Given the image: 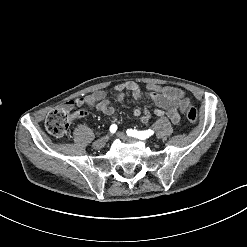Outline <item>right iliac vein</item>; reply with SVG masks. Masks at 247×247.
<instances>
[{"mask_svg": "<svg viewBox=\"0 0 247 247\" xmlns=\"http://www.w3.org/2000/svg\"><path fill=\"white\" fill-rule=\"evenodd\" d=\"M108 139H109V135L104 136V137L98 139L97 141H95V142L93 143V147H94L95 149H100V148H102V147L106 144V142H107Z\"/></svg>", "mask_w": 247, "mask_h": 247, "instance_id": "obj_1", "label": "right iliac vein"}]
</instances>
